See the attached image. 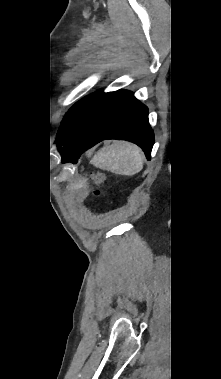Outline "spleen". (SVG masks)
I'll return each mask as SVG.
<instances>
[{
  "label": "spleen",
  "instance_id": "1",
  "mask_svg": "<svg viewBox=\"0 0 221 379\" xmlns=\"http://www.w3.org/2000/svg\"><path fill=\"white\" fill-rule=\"evenodd\" d=\"M90 162L102 170L132 176L142 170L144 155L140 148L132 143L115 141L99 150Z\"/></svg>",
  "mask_w": 221,
  "mask_h": 379
}]
</instances>
